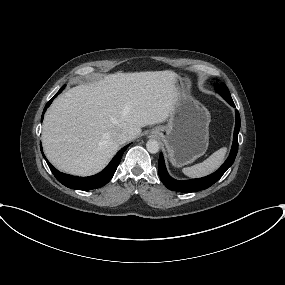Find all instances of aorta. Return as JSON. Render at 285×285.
Wrapping results in <instances>:
<instances>
[{"instance_id":"762f6f07","label":"aorta","mask_w":285,"mask_h":285,"mask_svg":"<svg viewBox=\"0 0 285 285\" xmlns=\"http://www.w3.org/2000/svg\"><path fill=\"white\" fill-rule=\"evenodd\" d=\"M146 148L148 152L155 154L159 151V143L156 140L150 139L146 143Z\"/></svg>"}]
</instances>
